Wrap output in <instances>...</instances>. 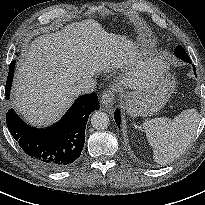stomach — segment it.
Listing matches in <instances>:
<instances>
[{"label": "stomach", "instance_id": "stomach-1", "mask_svg": "<svg viewBox=\"0 0 205 205\" xmlns=\"http://www.w3.org/2000/svg\"><path fill=\"white\" fill-rule=\"evenodd\" d=\"M174 90V77L163 71L149 88L123 93L125 109L132 117L153 114L164 107Z\"/></svg>", "mask_w": 205, "mask_h": 205}]
</instances>
